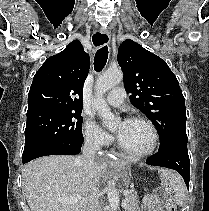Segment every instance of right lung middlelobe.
Wrapping results in <instances>:
<instances>
[{
    "instance_id": "right-lung-middle-lobe-1",
    "label": "right lung middle lobe",
    "mask_w": 209,
    "mask_h": 211,
    "mask_svg": "<svg viewBox=\"0 0 209 211\" xmlns=\"http://www.w3.org/2000/svg\"><path fill=\"white\" fill-rule=\"evenodd\" d=\"M81 110H39L27 113L22 159L58 143L83 142Z\"/></svg>"
}]
</instances>
